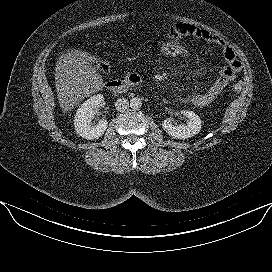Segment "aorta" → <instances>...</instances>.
Listing matches in <instances>:
<instances>
[{"label":"aorta","mask_w":272,"mask_h":272,"mask_svg":"<svg viewBox=\"0 0 272 272\" xmlns=\"http://www.w3.org/2000/svg\"><path fill=\"white\" fill-rule=\"evenodd\" d=\"M142 106V100L138 97H134L132 99H130V107L133 110H139Z\"/></svg>","instance_id":"aorta-1"}]
</instances>
